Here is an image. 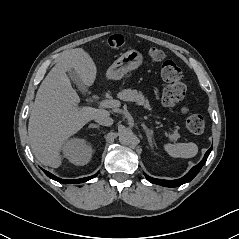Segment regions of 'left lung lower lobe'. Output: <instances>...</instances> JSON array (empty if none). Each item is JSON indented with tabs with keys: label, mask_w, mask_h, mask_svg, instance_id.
<instances>
[{
	"label": "left lung lower lobe",
	"mask_w": 239,
	"mask_h": 239,
	"mask_svg": "<svg viewBox=\"0 0 239 239\" xmlns=\"http://www.w3.org/2000/svg\"><path fill=\"white\" fill-rule=\"evenodd\" d=\"M212 150V147L205 153L204 158L202 159V161L197 164L196 166H194L184 177L177 179V180H162V179H156V178H152L148 175L145 174L146 178L148 181H150L151 183L154 184H158L161 186H165V187H177L180 186L184 183L190 182L200 171V169L202 168V166L205 164L210 152Z\"/></svg>",
	"instance_id": "0a47b994"
}]
</instances>
